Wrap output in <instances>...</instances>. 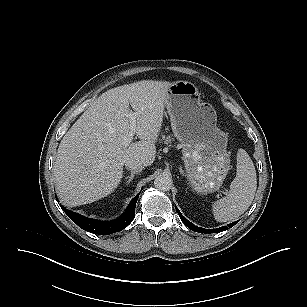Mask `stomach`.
<instances>
[{"label":"stomach","mask_w":307,"mask_h":307,"mask_svg":"<svg viewBox=\"0 0 307 307\" xmlns=\"http://www.w3.org/2000/svg\"><path fill=\"white\" fill-rule=\"evenodd\" d=\"M165 106L192 187L202 194L218 191L230 169V157L227 134L217 127L215 109L202 102L198 88L188 81L171 84Z\"/></svg>","instance_id":"obj_1"}]
</instances>
